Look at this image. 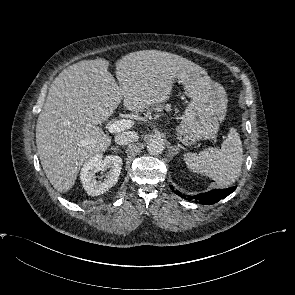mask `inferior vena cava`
Masks as SVG:
<instances>
[{
	"instance_id": "inferior-vena-cava-1",
	"label": "inferior vena cava",
	"mask_w": 295,
	"mask_h": 295,
	"mask_svg": "<svg viewBox=\"0 0 295 295\" xmlns=\"http://www.w3.org/2000/svg\"><path fill=\"white\" fill-rule=\"evenodd\" d=\"M139 135L137 132L134 131H127L119 133L115 136V142L119 145H127L131 142L137 141Z\"/></svg>"
}]
</instances>
